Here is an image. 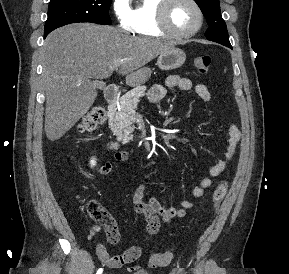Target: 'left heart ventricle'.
I'll return each mask as SVG.
<instances>
[{"label":"left heart ventricle","mask_w":289,"mask_h":274,"mask_svg":"<svg viewBox=\"0 0 289 274\" xmlns=\"http://www.w3.org/2000/svg\"><path fill=\"white\" fill-rule=\"evenodd\" d=\"M171 26L177 31H189L196 27L198 15L188 0H176L169 13Z\"/></svg>","instance_id":"obj_1"}]
</instances>
